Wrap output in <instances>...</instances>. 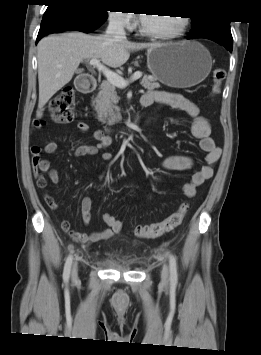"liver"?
I'll use <instances>...</instances> for the list:
<instances>
[{
	"label": "liver",
	"instance_id": "liver-1",
	"mask_svg": "<svg viewBox=\"0 0 261 355\" xmlns=\"http://www.w3.org/2000/svg\"><path fill=\"white\" fill-rule=\"evenodd\" d=\"M158 43L114 41L106 35L92 36L81 32L50 35L37 47L39 102L37 116L41 117L44 105L62 87L69 83L79 64L97 58L117 68L127 62L130 51L154 47Z\"/></svg>",
	"mask_w": 261,
	"mask_h": 355
}]
</instances>
